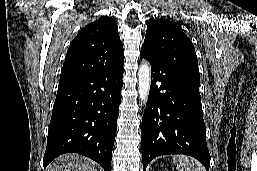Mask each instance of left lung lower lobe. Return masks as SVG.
<instances>
[{
	"label": "left lung lower lobe",
	"instance_id": "1",
	"mask_svg": "<svg viewBox=\"0 0 257 171\" xmlns=\"http://www.w3.org/2000/svg\"><path fill=\"white\" fill-rule=\"evenodd\" d=\"M140 57L148 59L152 69L141 129L143 171L153 158L168 154L190 155L208 171L200 76L168 57L154 59L144 53Z\"/></svg>",
	"mask_w": 257,
	"mask_h": 171
}]
</instances>
